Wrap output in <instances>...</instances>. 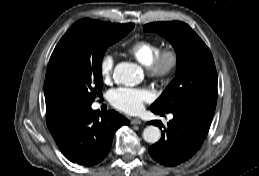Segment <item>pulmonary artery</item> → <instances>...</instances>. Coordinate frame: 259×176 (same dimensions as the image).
Segmentation results:
<instances>
[{
  "instance_id": "e3ab8cb5",
  "label": "pulmonary artery",
  "mask_w": 259,
  "mask_h": 176,
  "mask_svg": "<svg viewBox=\"0 0 259 176\" xmlns=\"http://www.w3.org/2000/svg\"><path fill=\"white\" fill-rule=\"evenodd\" d=\"M168 118H169V119H173V115L170 114V115L168 116Z\"/></svg>"
}]
</instances>
